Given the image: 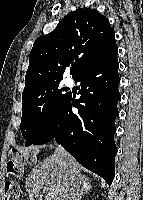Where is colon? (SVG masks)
<instances>
[{
  "instance_id": "1",
  "label": "colon",
  "mask_w": 143,
  "mask_h": 200,
  "mask_svg": "<svg viewBox=\"0 0 143 200\" xmlns=\"http://www.w3.org/2000/svg\"><path fill=\"white\" fill-rule=\"evenodd\" d=\"M10 157L7 171L11 178L5 182L4 200H19L21 191L17 179L21 178L24 166L33 163L36 156L33 152L15 150Z\"/></svg>"
}]
</instances>
